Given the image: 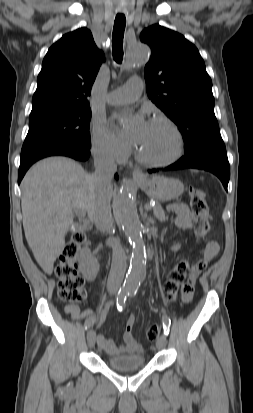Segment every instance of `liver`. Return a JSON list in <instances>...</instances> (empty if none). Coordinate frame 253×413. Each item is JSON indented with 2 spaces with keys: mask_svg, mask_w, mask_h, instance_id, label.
I'll return each mask as SVG.
<instances>
[{
  "mask_svg": "<svg viewBox=\"0 0 253 413\" xmlns=\"http://www.w3.org/2000/svg\"><path fill=\"white\" fill-rule=\"evenodd\" d=\"M21 207L25 237L34 257L51 275L73 225V212L82 210L94 220L99 191L93 175L76 161L50 157L33 165L21 182ZM112 198V185L107 190Z\"/></svg>",
  "mask_w": 253,
  "mask_h": 413,
  "instance_id": "6515ba94",
  "label": "liver"
}]
</instances>
